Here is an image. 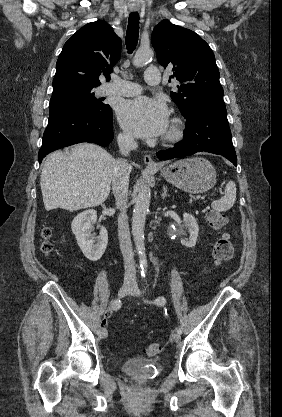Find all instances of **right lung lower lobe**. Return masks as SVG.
<instances>
[{
	"instance_id": "98d812e1",
	"label": "right lung lower lobe",
	"mask_w": 282,
	"mask_h": 417,
	"mask_svg": "<svg viewBox=\"0 0 282 417\" xmlns=\"http://www.w3.org/2000/svg\"><path fill=\"white\" fill-rule=\"evenodd\" d=\"M112 125L110 106L104 110L68 107L50 114L38 153L39 162L52 151L80 142L107 146L114 136Z\"/></svg>"
}]
</instances>
